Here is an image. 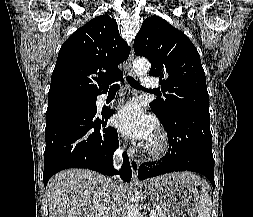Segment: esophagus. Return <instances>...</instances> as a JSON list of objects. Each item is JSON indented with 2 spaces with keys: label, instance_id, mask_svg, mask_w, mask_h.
<instances>
[{
  "label": "esophagus",
  "instance_id": "obj_1",
  "mask_svg": "<svg viewBox=\"0 0 253 217\" xmlns=\"http://www.w3.org/2000/svg\"><path fill=\"white\" fill-rule=\"evenodd\" d=\"M133 59H134V52H133V49H132L131 52H130V55L128 57V60H127V74L131 77L135 76V73H134L133 68H132ZM128 155H129V161H130V166H131V169H132L133 177L136 178L137 173H138V169H139V160L136 158V154H135L134 149H130L128 151Z\"/></svg>",
  "mask_w": 253,
  "mask_h": 217
}]
</instances>
